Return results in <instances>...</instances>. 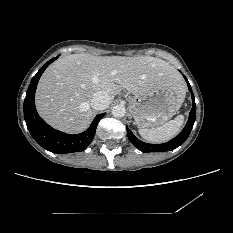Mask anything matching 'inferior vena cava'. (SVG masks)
<instances>
[{"label":"inferior vena cava","instance_id":"602c4592","mask_svg":"<svg viewBox=\"0 0 233 233\" xmlns=\"http://www.w3.org/2000/svg\"><path fill=\"white\" fill-rule=\"evenodd\" d=\"M110 104V97L104 91L96 92L91 99V107L95 110H104Z\"/></svg>","mask_w":233,"mask_h":233}]
</instances>
